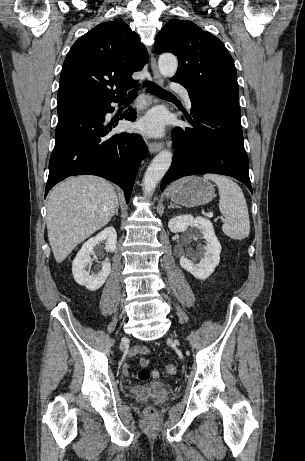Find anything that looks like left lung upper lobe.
<instances>
[{"label": "left lung upper lobe", "instance_id": "5c2ea615", "mask_svg": "<svg viewBox=\"0 0 305 461\" xmlns=\"http://www.w3.org/2000/svg\"><path fill=\"white\" fill-rule=\"evenodd\" d=\"M154 49L177 56L178 70L172 80L188 91L239 92L230 53L217 37L193 22L170 20L157 35Z\"/></svg>", "mask_w": 305, "mask_h": 461}]
</instances>
